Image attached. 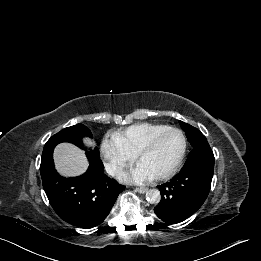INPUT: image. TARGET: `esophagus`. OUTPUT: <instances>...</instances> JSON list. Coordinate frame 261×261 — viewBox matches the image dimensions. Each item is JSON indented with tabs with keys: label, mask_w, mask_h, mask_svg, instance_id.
Listing matches in <instances>:
<instances>
[{
	"label": "esophagus",
	"mask_w": 261,
	"mask_h": 261,
	"mask_svg": "<svg viewBox=\"0 0 261 261\" xmlns=\"http://www.w3.org/2000/svg\"><path fill=\"white\" fill-rule=\"evenodd\" d=\"M135 190L139 193H145L147 191V188H144V187H138V188H135Z\"/></svg>",
	"instance_id": "esophagus-1"
}]
</instances>
